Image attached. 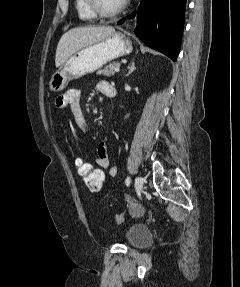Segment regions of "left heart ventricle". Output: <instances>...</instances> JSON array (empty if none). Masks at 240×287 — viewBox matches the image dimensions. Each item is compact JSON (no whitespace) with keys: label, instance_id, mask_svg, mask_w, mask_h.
I'll list each match as a JSON object with an SVG mask.
<instances>
[{"label":"left heart ventricle","instance_id":"1","mask_svg":"<svg viewBox=\"0 0 240 287\" xmlns=\"http://www.w3.org/2000/svg\"><path fill=\"white\" fill-rule=\"evenodd\" d=\"M123 0H100L101 6L106 10L115 9Z\"/></svg>","mask_w":240,"mask_h":287}]
</instances>
